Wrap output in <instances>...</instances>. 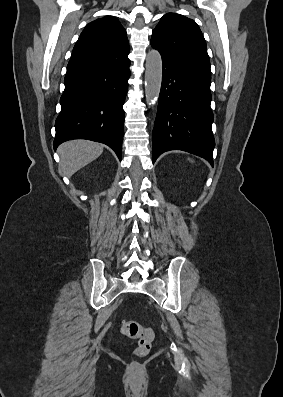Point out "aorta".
<instances>
[{
	"mask_svg": "<svg viewBox=\"0 0 283 397\" xmlns=\"http://www.w3.org/2000/svg\"><path fill=\"white\" fill-rule=\"evenodd\" d=\"M162 83V58L160 53L151 49L146 57L145 96L148 105H155Z\"/></svg>",
	"mask_w": 283,
	"mask_h": 397,
	"instance_id": "obj_1",
	"label": "aorta"
}]
</instances>
